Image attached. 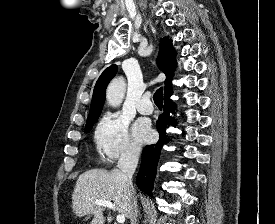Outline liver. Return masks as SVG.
I'll return each instance as SVG.
<instances>
[{
    "label": "liver",
    "instance_id": "6515ba94",
    "mask_svg": "<svg viewBox=\"0 0 275 224\" xmlns=\"http://www.w3.org/2000/svg\"><path fill=\"white\" fill-rule=\"evenodd\" d=\"M97 200L113 202L116 211L130 218L128 192L119 169H92L78 177L72 194V209L75 215H93L90 224H104L105 208L98 206L95 203Z\"/></svg>",
    "mask_w": 275,
    "mask_h": 224
}]
</instances>
